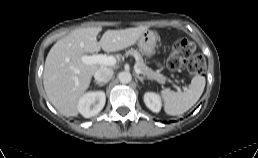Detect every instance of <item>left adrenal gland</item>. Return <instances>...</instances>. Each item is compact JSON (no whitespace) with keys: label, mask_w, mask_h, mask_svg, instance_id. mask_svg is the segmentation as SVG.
<instances>
[{"label":"left adrenal gland","mask_w":258,"mask_h":158,"mask_svg":"<svg viewBox=\"0 0 258 158\" xmlns=\"http://www.w3.org/2000/svg\"><path fill=\"white\" fill-rule=\"evenodd\" d=\"M136 77L142 82L144 83V77L140 76L139 74H136Z\"/></svg>","instance_id":"a2214340"}]
</instances>
